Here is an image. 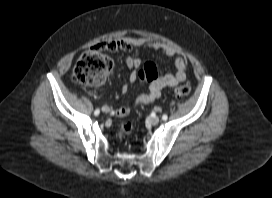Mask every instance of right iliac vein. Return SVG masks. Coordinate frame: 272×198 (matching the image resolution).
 I'll list each match as a JSON object with an SVG mask.
<instances>
[{
  "mask_svg": "<svg viewBox=\"0 0 272 198\" xmlns=\"http://www.w3.org/2000/svg\"><path fill=\"white\" fill-rule=\"evenodd\" d=\"M110 111V108L108 106H103L102 107V112L103 113H108Z\"/></svg>",
  "mask_w": 272,
  "mask_h": 198,
  "instance_id": "obj_1",
  "label": "right iliac vein"
}]
</instances>
